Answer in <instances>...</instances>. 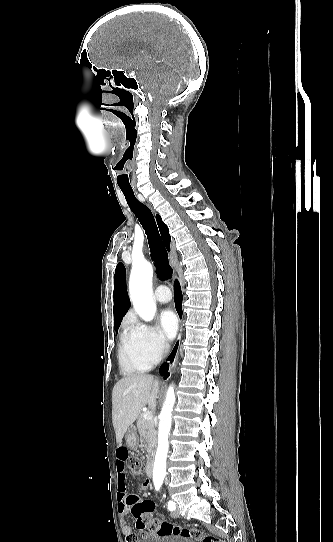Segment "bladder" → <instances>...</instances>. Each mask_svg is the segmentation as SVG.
<instances>
[{"mask_svg":"<svg viewBox=\"0 0 333 542\" xmlns=\"http://www.w3.org/2000/svg\"><path fill=\"white\" fill-rule=\"evenodd\" d=\"M142 542H197V541L195 539H190L186 535L164 534V535L150 536L148 537V539H145Z\"/></svg>","mask_w":333,"mask_h":542,"instance_id":"bladder-1","label":"bladder"}]
</instances>
